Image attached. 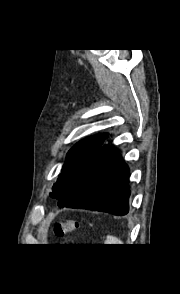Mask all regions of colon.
Wrapping results in <instances>:
<instances>
[{
    "mask_svg": "<svg viewBox=\"0 0 180 294\" xmlns=\"http://www.w3.org/2000/svg\"><path fill=\"white\" fill-rule=\"evenodd\" d=\"M78 228V223L75 220L66 219L58 221L54 226V234L57 237H62Z\"/></svg>",
    "mask_w": 180,
    "mask_h": 294,
    "instance_id": "obj_1",
    "label": "colon"
}]
</instances>
